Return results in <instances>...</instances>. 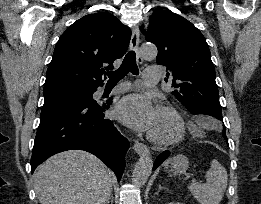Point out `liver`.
Instances as JSON below:
<instances>
[{"label":"liver","mask_w":261,"mask_h":204,"mask_svg":"<svg viewBox=\"0 0 261 204\" xmlns=\"http://www.w3.org/2000/svg\"><path fill=\"white\" fill-rule=\"evenodd\" d=\"M41 204H107L111 173L94 155L81 150L58 153L41 164L34 175Z\"/></svg>","instance_id":"obj_1"}]
</instances>
